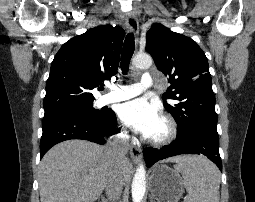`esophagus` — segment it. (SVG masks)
Masks as SVG:
<instances>
[{"mask_svg":"<svg viewBox=\"0 0 255 202\" xmlns=\"http://www.w3.org/2000/svg\"><path fill=\"white\" fill-rule=\"evenodd\" d=\"M126 25L128 30L134 34L135 39L137 41L139 33V24L136 17H134L133 15H129L126 18ZM130 156L135 163H138L142 159V150L139 147L131 146Z\"/></svg>","mask_w":255,"mask_h":202,"instance_id":"esophagus-1","label":"esophagus"}]
</instances>
